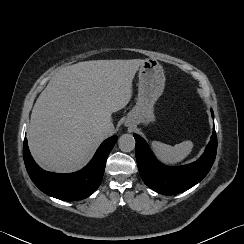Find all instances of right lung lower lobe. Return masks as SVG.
Returning a JSON list of instances; mask_svg holds the SVG:
<instances>
[{
	"label": "right lung lower lobe",
	"mask_w": 244,
	"mask_h": 244,
	"mask_svg": "<svg viewBox=\"0 0 244 244\" xmlns=\"http://www.w3.org/2000/svg\"><path fill=\"white\" fill-rule=\"evenodd\" d=\"M116 141L117 136L106 139L82 170L71 174H56L42 170L35 163L25 138L23 146L25 166L31 180L45 194L64 201L81 200L90 196L99 187L107 157Z\"/></svg>",
	"instance_id": "right-lung-lower-lobe-1"
}]
</instances>
